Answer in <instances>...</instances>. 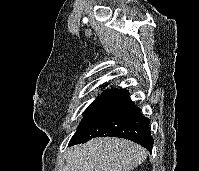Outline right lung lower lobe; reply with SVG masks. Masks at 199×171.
Segmentation results:
<instances>
[{"label": "right lung lower lobe", "instance_id": "98d812e1", "mask_svg": "<svg viewBox=\"0 0 199 171\" xmlns=\"http://www.w3.org/2000/svg\"><path fill=\"white\" fill-rule=\"evenodd\" d=\"M84 117L69 146L94 137L114 136L134 141L152 151L150 120L131 101L127 90H105L84 111Z\"/></svg>", "mask_w": 199, "mask_h": 171}]
</instances>
